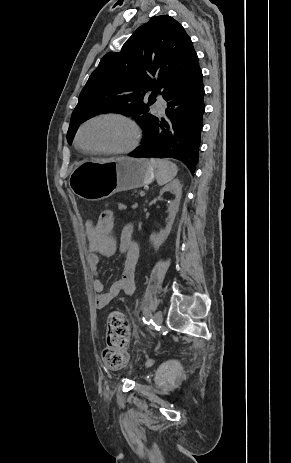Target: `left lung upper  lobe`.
Returning <instances> with one entry per match:
<instances>
[{
  "label": "left lung upper lobe",
  "instance_id": "obj_1",
  "mask_svg": "<svg viewBox=\"0 0 291 463\" xmlns=\"http://www.w3.org/2000/svg\"><path fill=\"white\" fill-rule=\"evenodd\" d=\"M197 68L198 56L181 24L168 15L151 18L120 52L107 53L89 77L71 115L68 143L82 122L105 112L133 117L144 134L155 118L149 105L157 93L164 98Z\"/></svg>",
  "mask_w": 291,
  "mask_h": 463
}]
</instances>
